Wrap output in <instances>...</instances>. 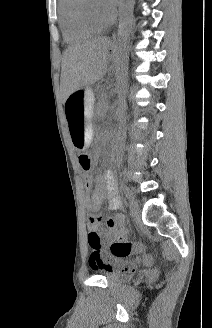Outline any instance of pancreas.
I'll use <instances>...</instances> for the list:
<instances>
[{"label": "pancreas", "mask_w": 212, "mask_h": 328, "mask_svg": "<svg viewBox=\"0 0 212 328\" xmlns=\"http://www.w3.org/2000/svg\"><path fill=\"white\" fill-rule=\"evenodd\" d=\"M100 109H106L107 108V102L105 100H101L98 104Z\"/></svg>", "instance_id": "obj_1"}]
</instances>
